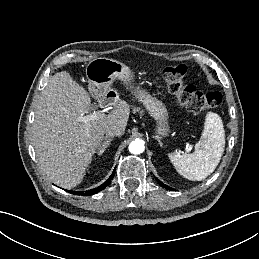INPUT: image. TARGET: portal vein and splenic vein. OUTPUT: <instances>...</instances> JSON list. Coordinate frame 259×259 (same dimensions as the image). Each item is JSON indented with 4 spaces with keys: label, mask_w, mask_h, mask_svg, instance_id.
I'll return each instance as SVG.
<instances>
[{
    "label": "portal vein and splenic vein",
    "mask_w": 259,
    "mask_h": 259,
    "mask_svg": "<svg viewBox=\"0 0 259 259\" xmlns=\"http://www.w3.org/2000/svg\"><path fill=\"white\" fill-rule=\"evenodd\" d=\"M103 116H104V114L101 111H95L92 114H88V115L80 117V120L84 123H89L90 121L98 120V119L102 118Z\"/></svg>",
    "instance_id": "1"
}]
</instances>
